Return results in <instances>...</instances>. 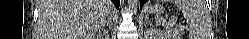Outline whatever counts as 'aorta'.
Returning a JSON list of instances; mask_svg holds the SVG:
<instances>
[{
  "mask_svg": "<svg viewBox=\"0 0 249 39\" xmlns=\"http://www.w3.org/2000/svg\"><path fill=\"white\" fill-rule=\"evenodd\" d=\"M128 5L132 7H137L138 6V0H128Z\"/></svg>",
  "mask_w": 249,
  "mask_h": 39,
  "instance_id": "762f6f07",
  "label": "aorta"
}]
</instances>
